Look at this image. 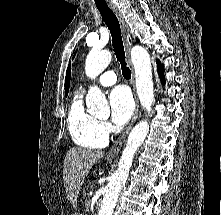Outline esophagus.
<instances>
[{"label":"esophagus","mask_w":221,"mask_h":215,"mask_svg":"<svg viewBox=\"0 0 221 215\" xmlns=\"http://www.w3.org/2000/svg\"><path fill=\"white\" fill-rule=\"evenodd\" d=\"M110 7L118 18V21H119V24L121 27V31L123 34V42H124V47H125V51H126L127 62H128V65L133 73V66H132V61H131V57H130L131 45L129 42V28H128L127 22L124 19L123 14L120 12V10H118V8L116 6L111 5ZM132 84H133L134 99H135V103H136L135 112L133 114V117L131 119L129 126L126 128V130L122 133V135L118 138V140L115 142L113 147L110 149V151L108 153V156H110V157H116L119 154L121 147H122L127 135L129 134L133 124L135 123V121L137 120V118L139 117V114H140V105H139V101H138V97H137V93H136V88L134 85V80L132 81Z\"/></svg>","instance_id":"1"}]
</instances>
